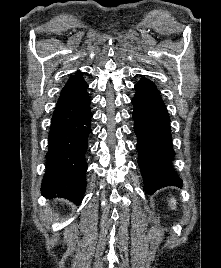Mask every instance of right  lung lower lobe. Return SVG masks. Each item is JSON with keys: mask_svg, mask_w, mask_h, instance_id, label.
Returning a JSON list of instances; mask_svg holds the SVG:
<instances>
[{"mask_svg": "<svg viewBox=\"0 0 221 268\" xmlns=\"http://www.w3.org/2000/svg\"><path fill=\"white\" fill-rule=\"evenodd\" d=\"M90 98L80 97L57 103L49 131L46 172L42 194L67 198L80 204L86 187L85 154L91 132Z\"/></svg>", "mask_w": 221, "mask_h": 268, "instance_id": "98d812e1", "label": "right lung lower lobe"}]
</instances>
